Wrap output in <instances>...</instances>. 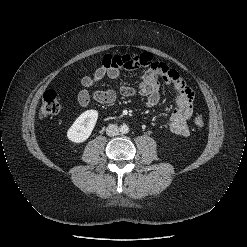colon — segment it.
<instances>
[{"mask_svg":"<svg viewBox=\"0 0 247 247\" xmlns=\"http://www.w3.org/2000/svg\"><path fill=\"white\" fill-rule=\"evenodd\" d=\"M62 102L54 90H47L42 98L39 114L42 118L52 117L59 113ZM193 124L201 129L206 125V119L201 113H195L193 116Z\"/></svg>","mask_w":247,"mask_h":247,"instance_id":"1","label":"colon"}]
</instances>
